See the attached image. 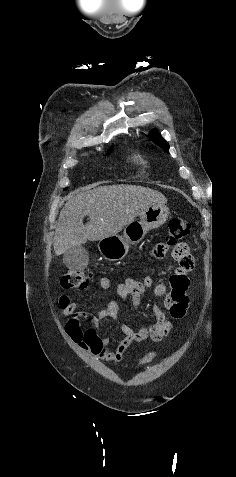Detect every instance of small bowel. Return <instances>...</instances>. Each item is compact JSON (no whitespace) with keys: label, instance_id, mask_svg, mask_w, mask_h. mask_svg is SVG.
<instances>
[{"label":"small bowel","instance_id":"obj_1","mask_svg":"<svg viewBox=\"0 0 236 477\" xmlns=\"http://www.w3.org/2000/svg\"><path fill=\"white\" fill-rule=\"evenodd\" d=\"M183 245L187 246L185 243ZM166 252L167 246L159 244L156 246L154 254L157 258H161ZM177 260L180 267L171 278L170 290L164 284L155 285L154 279L151 276H146L142 281L126 278L115 286L116 294L122 300H129L137 308L141 305L146 289L154 288L155 294L163 299L164 307L170 312L171 317L175 320L183 319L189 308L187 273L192 270L194 259L188 252L186 256ZM99 285L104 291H109L112 288V282L107 277H102L99 280ZM59 305L67 317L65 331L71 340L95 357L114 364L128 358V350L132 344L147 339L159 343L173 329L172 321L158 305H154L152 308L155 321L138 330L120 321V304L116 300H109L105 307L97 312L78 310L77 304L73 303L67 295L60 298ZM108 318L120 323V329L124 335L114 349L110 347V338H102L99 332V322ZM155 356L156 351L150 350L138 359V363L145 364Z\"/></svg>","mask_w":236,"mask_h":477}]
</instances>
